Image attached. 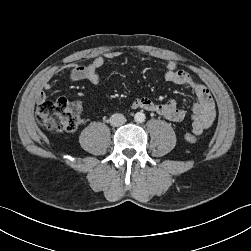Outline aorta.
Here are the masks:
<instances>
[{
    "mask_svg": "<svg viewBox=\"0 0 251 251\" xmlns=\"http://www.w3.org/2000/svg\"><path fill=\"white\" fill-rule=\"evenodd\" d=\"M145 118H146V116H145V114L142 113V112H137V113L135 114V116H134V120H135V122H137V123H142V122H144V121H145Z\"/></svg>",
    "mask_w": 251,
    "mask_h": 251,
    "instance_id": "762f6f07",
    "label": "aorta"
}]
</instances>
